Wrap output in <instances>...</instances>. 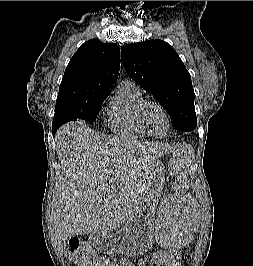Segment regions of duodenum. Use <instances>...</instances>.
I'll use <instances>...</instances> for the list:
<instances>
[{"label":"duodenum","instance_id":"duodenum-1","mask_svg":"<svg viewBox=\"0 0 253 266\" xmlns=\"http://www.w3.org/2000/svg\"><path fill=\"white\" fill-rule=\"evenodd\" d=\"M107 239L106 235L101 233H96L92 235V241L94 244H98L102 241H105Z\"/></svg>","mask_w":253,"mask_h":266}]
</instances>
